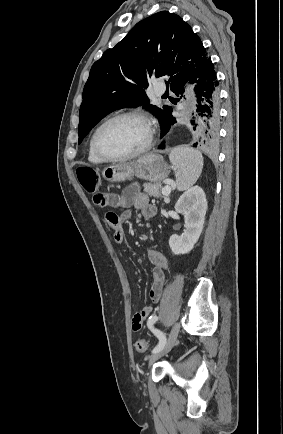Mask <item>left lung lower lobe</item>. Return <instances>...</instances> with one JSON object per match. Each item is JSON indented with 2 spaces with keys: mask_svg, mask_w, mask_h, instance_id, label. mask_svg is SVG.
Returning <instances> with one entry per match:
<instances>
[{
  "mask_svg": "<svg viewBox=\"0 0 283 434\" xmlns=\"http://www.w3.org/2000/svg\"><path fill=\"white\" fill-rule=\"evenodd\" d=\"M188 80L196 84L194 90L197 97L195 116L191 120L194 138L193 146L213 149L217 147L219 142L220 95L219 82L211 58L198 66L188 79L179 85L171 87V91L177 96L182 95ZM171 112L165 119L161 138L166 136L171 126L176 123V119L171 115ZM160 149H164V144L160 145Z\"/></svg>",
  "mask_w": 283,
  "mask_h": 434,
  "instance_id": "obj_1",
  "label": "left lung lower lobe"
}]
</instances>
